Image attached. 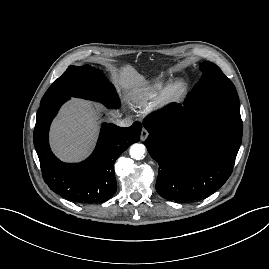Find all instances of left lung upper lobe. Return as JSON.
I'll return each instance as SVG.
<instances>
[{
	"label": "left lung upper lobe",
	"instance_id": "obj_1",
	"mask_svg": "<svg viewBox=\"0 0 269 269\" xmlns=\"http://www.w3.org/2000/svg\"><path fill=\"white\" fill-rule=\"evenodd\" d=\"M200 70L203 73L202 78L187 97L185 107L199 108L219 103L240 106L233 83L217 65L203 62Z\"/></svg>",
	"mask_w": 269,
	"mask_h": 269
}]
</instances>
